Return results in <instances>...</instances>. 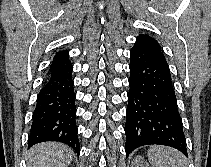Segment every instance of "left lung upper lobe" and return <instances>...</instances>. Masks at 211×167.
Instances as JSON below:
<instances>
[{
    "label": "left lung upper lobe",
    "mask_w": 211,
    "mask_h": 167,
    "mask_svg": "<svg viewBox=\"0 0 211 167\" xmlns=\"http://www.w3.org/2000/svg\"><path fill=\"white\" fill-rule=\"evenodd\" d=\"M133 48H140L151 52L160 62L163 63L164 66L169 69L168 64L165 60V56L161 51L160 45L154 38L148 35L140 34L137 37L136 43Z\"/></svg>",
    "instance_id": "left-lung-upper-lobe-1"
}]
</instances>
